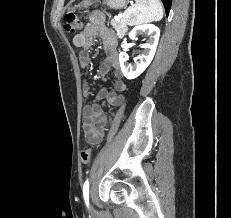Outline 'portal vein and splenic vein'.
Instances as JSON below:
<instances>
[{"label": "portal vein and splenic vein", "mask_w": 231, "mask_h": 218, "mask_svg": "<svg viewBox=\"0 0 231 218\" xmlns=\"http://www.w3.org/2000/svg\"><path fill=\"white\" fill-rule=\"evenodd\" d=\"M120 15H116L114 18H115V20H119L120 19Z\"/></svg>", "instance_id": "18ae733b"}]
</instances>
